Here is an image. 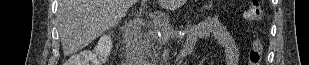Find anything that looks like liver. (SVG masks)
I'll use <instances>...</instances> for the list:
<instances>
[{
	"label": "liver",
	"instance_id": "1",
	"mask_svg": "<svg viewBox=\"0 0 309 65\" xmlns=\"http://www.w3.org/2000/svg\"><path fill=\"white\" fill-rule=\"evenodd\" d=\"M136 0H59L58 32L65 55L74 54L118 24ZM176 9L186 0H156Z\"/></svg>",
	"mask_w": 309,
	"mask_h": 65
}]
</instances>
